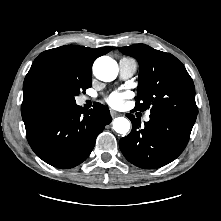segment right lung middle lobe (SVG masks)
<instances>
[{
	"mask_svg": "<svg viewBox=\"0 0 221 221\" xmlns=\"http://www.w3.org/2000/svg\"><path fill=\"white\" fill-rule=\"evenodd\" d=\"M92 77L64 76L49 81L45 93L52 103L73 104L81 90L91 87Z\"/></svg>",
	"mask_w": 221,
	"mask_h": 221,
	"instance_id": "obj_1",
	"label": "right lung middle lobe"
}]
</instances>
